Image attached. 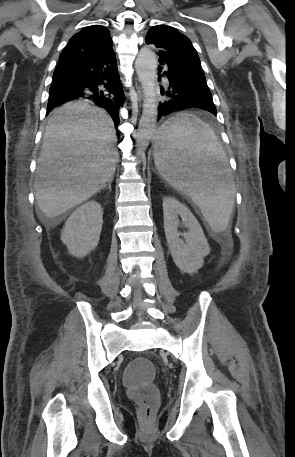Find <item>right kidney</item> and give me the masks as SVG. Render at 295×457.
Masks as SVG:
<instances>
[{
	"instance_id": "obj_1",
	"label": "right kidney",
	"mask_w": 295,
	"mask_h": 457,
	"mask_svg": "<svg viewBox=\"0 0 295 457\" xmlns=\"http://www.w3.org/2000/svg\"><path fill=\"white\" fill-rule=\"evenodd\" d=\"M102 207L92 200L78 207L68 218L61 234L71 255L82 258L94 250L102 230Z\"/></svg>"
}]
</instances>
